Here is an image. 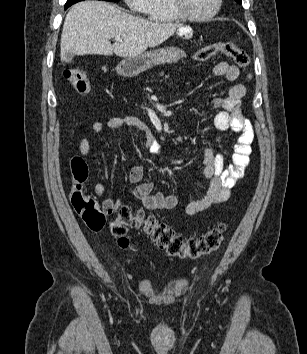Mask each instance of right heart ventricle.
I'll return each mask as SVG.
<instances>
[{
	"mask_svg": "<svg viewBox=\"0 0 307 354\" xmlns=\"http://www.w3.org/2000/svg\"><path fill=\"white\" fill-rule=\"evenodd\" d=\"M144 13L154 22L168 23L180 20L170 0H150Z\"/></svg>",
	"mask_w": 307,
	"mask_h": 354,
	"instance_id": "right-heart-ventricle-1",
	"label": "right heart ventricle"
}]
</instances>
